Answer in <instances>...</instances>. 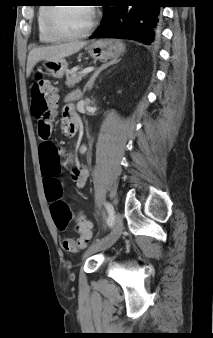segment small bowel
<instances>
[{
	"label": "small bowel",
	"mask_w": 213,
	"mask_h": 338,
	"mask_svg": "<svg viewBox=\"0 0 213 338\" xmlns=\"http://www.w3.org/2000/svg\"><path fill=\"white\" fill-rule=\"evenodd\" d=\"M78 97V94L76 92L71 93L67 97V103L65 104L63 108V116L65 119L66 126L64 127V132L66 135H71L68 132V125L73 117V104L72 102L76 100ZM45 122H49L50 120L44 119ZM45 143H51L48 139L43 140L41 146ZM61 164L58 160V150H54L49 156L45 155L40 150V169L41 174L44 179V188H45V196L46 200L49 203L50 212L52 214V208L54 205L63 203L62 200H60V193L62 190V179L60 176V170ZM72 180L76 187L82 188L87 180L88 177V171L87 169L83 167L75 166L70 171ZM54 222L56 226L62 230L65 231L68 227V221L64 225H58L54 219Z\"/></svg>",
	"instance_id": "small-bowel-1"
}]
</instances>
